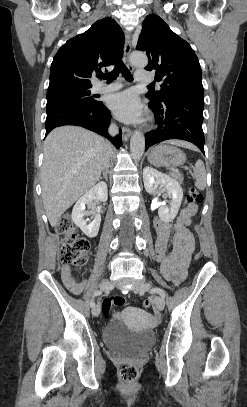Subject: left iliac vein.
Returning <instances> with one entry per match:
<instances>
[{"label":"left iliac vein","instance_id":"4c4485c4","mask_svg":"<svg viewBox=\"0 0 247 407\" xmlns=\"http://www.w3.org/2000/svg\"><path fill=\"white\" fill-rule=\"evenodd\" d=\"M151 289V285L145 281L139 283V285L136 288V291L140 293H144L146 291H149ZM155 304L158 310H163L165 307V301L163 297L156 295L155 296Z\"/></svg>","mask_w":247,"mask_h":407}]
</instances>
